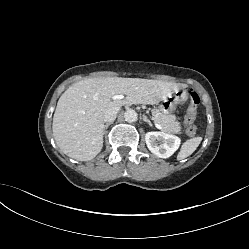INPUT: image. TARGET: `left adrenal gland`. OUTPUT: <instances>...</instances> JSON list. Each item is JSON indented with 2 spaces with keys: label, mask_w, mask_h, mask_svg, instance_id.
<instances>
[{
  "label": "left adrenal gland",
  "mask_w": 249,
  "mask_h": 249,
  "mask_svg": "<svg viewBox=\"0 0 249 249\" xmlns=\"http://www.w3.org/2000/svg\"><path fill=\"white\" fill-rule=\"evenodd\" d=\"M143 121L148 123L150 126H153L151 121L146 116H144Z\"/></svg>",
  "instance_id": "left-adrenal-gland-1"
}]
</instances>
